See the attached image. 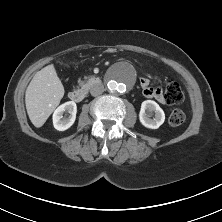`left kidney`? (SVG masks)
<instances>
[{"label":"left kidney","mask_w":222,"mask_h":222,"mask_svg":"<svg viewBox=\"0 0 222 222\" xmlns=\"http://www.w3.org/2000/svg\"><path fill=\"white\" fill-rule=\"evenodd\" d=\"M152 112L155 113V117L153 119L150 118ZM139 120L146 128L157 129L164 123L165 114L155 101L145 100L141 104Z\"/></svg>","instance_id":"5707ae66"}]
</instances>
